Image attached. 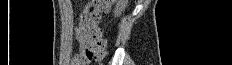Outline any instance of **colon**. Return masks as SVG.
Returning a JSON list of instances; mask_svg holds the SVG:
<instances>
[{
    "instance_id": "obj_1",
    "label": "colon",
    "mask_w": 232,
    "mask_h": 65,
    "mask_svg": "<svg viewBox=\"0 0 232 65\" xmlns=\"http://www.w3.org/2000/svg\"><path fill=\"white\" fill-rule=\"evenodd\" d=\"M113 0H90L80 13V23L86 33L89 60H101L106 53V42L100 21L109 11Z\"/></svg>"
}]
</instances>
